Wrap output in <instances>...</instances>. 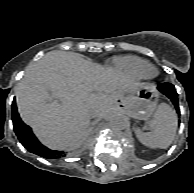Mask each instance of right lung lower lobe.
<instances>
[{
    "label": "right lung lower lobe",
    "instance_id": "obj_1",
    "mask_svg": "<svg viewBox=\"0 0 194 193\" xmlns=\"http://www.w3.org/2000/svg\"><path fill=\"white\" fill-rule=\"evenodd\" d=\"M12 121L14 131L21 142V144L30 152L44 158L54 159L65 156L64 152L54 151L43 146L32 133L29 126L23 123L17 112L15 100L12 103Z\"/></svg>",
    "mask_w": 194,
    "mask_h": 193
}]
</instances>
